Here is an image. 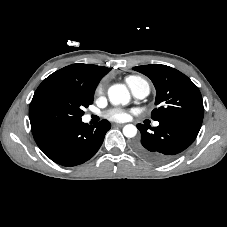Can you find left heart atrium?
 Here are the masks:
<instances>
[{
    "instance_id": "39dd6f15",
    "label": "left heart atrium",
    "mask_w": 227,
    "mask_h": 227,
    "mask_svg": "<svg viewBox=\"0 0 227 227\" xmlns=\"http://www.w3.org/2000/svg\"><path fill=\"white\" fill-rule=\"evenodd\" d=\"M107 117L110 120L121 122L125 121L128 118V113L127 111L123 109H112L107 113Z\"/></svg>"
}]
</instances>
